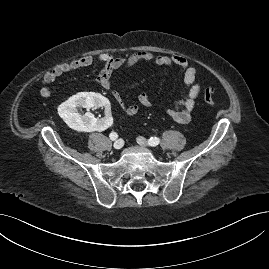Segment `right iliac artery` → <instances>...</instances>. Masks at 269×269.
<instances>
[{"instance_id": "82829eb1", "label": "right iliac artery", "mask_w": 269, "mask_h": 269, "mask_svg": "<svg viewBox=\"0 0 269 269\" xmlns=\"http://www.w3.org/2000/svg\"><path fill=\"white\" fill-rule=\"evenodd\" d=\"M109 137L111 140H116L118 138V134L116 132H111Z\"/></svg>"}]
</instances>
